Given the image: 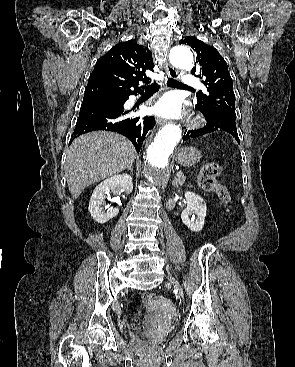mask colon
<instances>
[{
    "mask_svg": "<svg viewBox=\"0 0 295 367\" xmlns=\"http://www.w3.org/2000/svg\"><path fill=\"white\" fill-rule=\"evenodd\" d=\"M220 173L221 166L218 163L213 162L206 164L201 170L199 185L202 190L217 194L220 201L228 206L231 201L230 192L225 186L216 181V178ZM152 297L153 294L151 292H145L142 295L143 300H150ZM138 311L139 312L134 319L135 324L138 323L139 315L142 313L141 306H139Z\"/></svg>",
    "mask_w": 295,
    "mask_h": 367,
    "instance_id": "obj_1",
    "label": "colon"
}]
</instances>
